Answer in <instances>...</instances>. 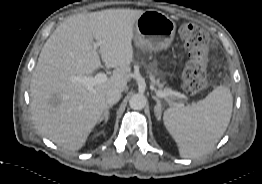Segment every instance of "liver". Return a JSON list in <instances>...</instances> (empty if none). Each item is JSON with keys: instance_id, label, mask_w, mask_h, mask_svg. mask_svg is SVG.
I'll list each match as a JSON object with an SVG mask.
<instances>
[{"instance_id": "obj_1", "label": "liver", "mask_w": 262, "mask_h": 184, "mask_svg": "<svg viewBox=\"0 0 262 184\" xmlns=\"http://www.w3.org/2000/svg\"><path fill=\"white\" fill-rule=\"evenodd\" d=\"M143 10L107 9L77 14L48 38L30 83L31 112L39 132L69 151L80 150L106 108V94L126 88L134 58V24ZM94 39L107 68L106 82L89 91L72 77H90L101 67Z\"/></svg>"}]
</instances>
